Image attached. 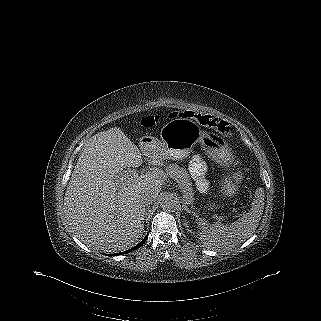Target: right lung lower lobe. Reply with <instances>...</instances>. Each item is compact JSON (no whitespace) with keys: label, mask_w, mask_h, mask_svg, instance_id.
Returning a JSON list of instances; mask_svg holds the SVG:
<instances>
[{"label":"right lung lower lobe","mask_w":321,"mask_h":321,"mask_svg":"<svg viewBox=\"0 0 321 321\" xmlns=\"http://www.w3.org/2000/svg\"><path fill=\"white\" fill-rule=\"evenodd\" d=\"M147 238H148V235H146V237L143 239V241H141V242H140L138 245H136L135 247H133V248H131V249L125 251V252H122V253H116L115 255H120V254L129 253V252H131V251L139 248V247L146 241Z\"/></svg>","instance_id":"obj_1"}]
</instances>
